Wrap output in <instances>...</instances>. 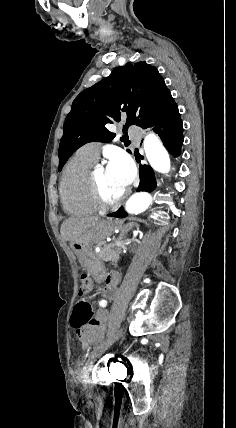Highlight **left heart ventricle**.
Masks as SVG:
<instances>
[{"label": "left heart ventricle", "instance_id": "obj_1", "mask_svg": "<svg viewBox=\"0 0 236 428\" xmlns=\"http://www.w3.org/2000/svg\"><path fill=\"white\" fill-rule=\"evenodd\" d=\"M100 184L104 195L109 199H117L120 197L128 188L120 178L111 174L106 169L99 170Z\"/></svg>", "mask_w": 236, "mask_h": 428}]
</instances>
